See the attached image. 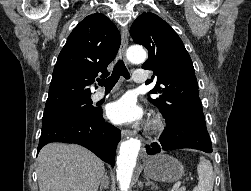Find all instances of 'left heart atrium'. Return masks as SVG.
Segmentation results:
<instances>
[{
    "label": "left heart atrium",
    "instance_id": "left-heart-atrium-1",
    "mask_svg": "<svg viewBox=\"0 0 251 191\" xmlns=\"http://www.w3.org/2000/svg\"><path fill=\"white\" fill-rule=\"evenodd\" d=\"M142 114L141 107L129 96L122 97L107 107L109 119L118 125L135 123L141 119Z\"/></svg>",
    "mask_w": 251,
    "mask_h": 191
}]
</instances>
